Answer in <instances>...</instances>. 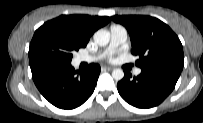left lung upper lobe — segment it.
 Returning <instances> with one entry per match:
<instances>
[{
    "label": "left lung upper lobe",
    "mask_w": 203,
    "mask_h": 123,
    "mask_svg": "<svg viewBox=\"0 0 203 123\" xmlns=\"http://www.w3.org/2000/svg\"><path fill=\"white\" fill-rule=\"evenodd\" d=\"M111 19L128 30L131 53L139 56L136 64L141 69L182 71V44L168 25L157 18L143 15H115Z\"/></svg>",
    "instance_id": "left-lung-upper-lobe-1"
}]
</instances>
